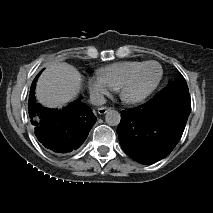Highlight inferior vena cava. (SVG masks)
<instances>
[{
  "label": "inferior vena cava",
  "instance_id": "obj_1",
  "mask_svg": "<svg viewBox=\"0 0 213 213\" xmlns=\"http://www.w3.org/2000/svg\"><path fill=\"white\" fill-rule=\"evenodd\" d=\"M89 102L94 105L100 106V105H103L106 103V99L102 94L92 93V94H90Z\"/></svg>",
  "mask_w": 213,
  "mask_h": 213
}]
</instances>
